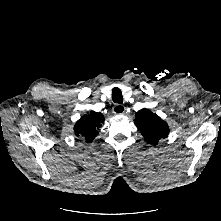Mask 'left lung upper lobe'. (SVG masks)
<instances>
[{"label":"left lung upper lobe","instance_id":"obj_1","mask_svg":"<svg viewBox=\"0 0 221 221\" xmlns=\"http://www.w3.org/2000/svg\"><path fill=\"white\" fill-rule=\"evenodd\" d=\"M135 125L141 131L147 143H157L169 134L167 123L148 109L136 113Z\"/></svg>","mask_w":221,"mask_h":221}]
</instances>
